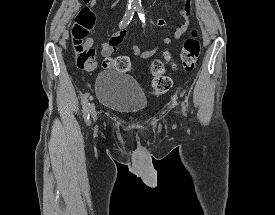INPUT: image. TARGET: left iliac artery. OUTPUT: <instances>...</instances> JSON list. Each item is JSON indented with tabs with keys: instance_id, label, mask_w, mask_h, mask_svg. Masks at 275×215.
<instances>
[{
	"instance_id": "1",
	"label": "left iliac artery",
	"mask_w": 275,
	"mask_h": 215,
	"mask_svg": "<svg viewBox=\"0 0 275 215\" xmlns=\"http://www.w3.org/2000/svg\"><path fill=\"white\" fill-rule=\"evenodd\" d=\"M137 12H138L140 20L142 21L143 24H145V14H144V11H143L142 7H137ZM182 112H183L184 115H186L185 102H182Z\"/></svg>"
}]
</instances>
